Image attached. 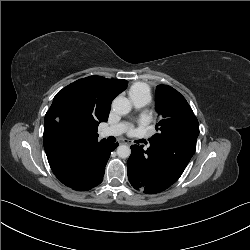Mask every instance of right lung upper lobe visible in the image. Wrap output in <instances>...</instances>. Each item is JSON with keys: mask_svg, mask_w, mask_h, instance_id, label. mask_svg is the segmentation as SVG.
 Wrapping results in <instances>:
<instances>
[{"mask_svg": "<svg viewBox=\"0 0 250 250\" xmlns=\"http://www.w3.org/2000/svg\"><path fill=\"white\" fill-rule=\"evenodd\" d=\"M126 85V80L89 76L66 86L54 97L45 115L43 144L49 165L57 178L66 177L75 156L97 142L99 123L108 120L112 100ZM69 91L78 94L80 111L85 119V125L77 131L67 128L58 112L60 102Z\"/></svg>", "mask_w": 250, "mask_h": 250, "instance_id": "obj_1", "label": "right lung upper lobe"}]
</instances>
